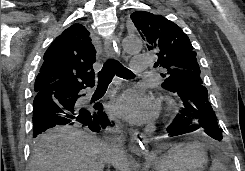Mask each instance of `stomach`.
Instances as JSON below:
<instances>
[{
    "label": "stomach",
    "mask_w": 245,
    "mask_h": 171,
    "mask_svg": "<svg viewBox=\"0 0 245 171\" xmlns=\"http://www.w3.org/2000/svg\"><path fill=\"white\" fill-rule=\"evenodd\" d=\"M208 147L197 141L178 144L154 160L157 171H203L208 162Z\"/></svg>",
    "instance_id": "1"
}]
</instances>
